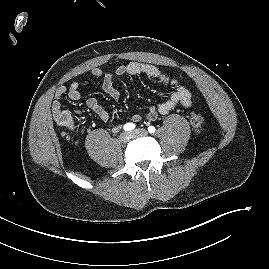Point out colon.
Listing matches in <instances>:
<instances>
[{
    "label": "colon",
    "mask_w": 269,
    "mask_h": 269,
    "mask_svg": "<svg viewBox=\"0 0 269 269\" xmlns=\"http://www.w3.org/2000/svg\"><path fill=\"white\" fill-rule=\"evenodd\" d=\"M63 120L68 121V117L64 116ZM203 117L199 113H192L190 116V124L194 132L199 133L203 128Z\"/></svg>",
    "instance_id": "1"
}]
</instances>
